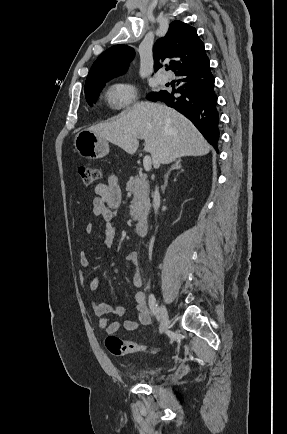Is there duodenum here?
Wrapping results in <instances>:
<instances>
[{"label": "duodenum", "mask_w": 287, "mask_h": 434, "mask_svg": "<svg viewBox=\"0 0 287 434\" xmlns=\"http://www.w3.org/2000/svg\"><path fill=\"white\" fill-rule=\"evenodd\" d=\"M149 221L146 218L138 220L136 225V234L138 237H145L148 233Z\"/></svg>", "instance_id": "obj_1"}]
</instances>
